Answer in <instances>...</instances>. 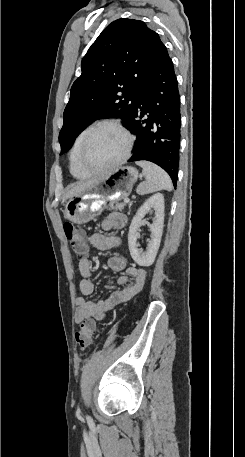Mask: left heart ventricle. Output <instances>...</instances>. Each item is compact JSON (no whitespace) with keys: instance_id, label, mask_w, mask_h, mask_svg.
I'll return each instance as SVG.
<instances>
[{"instance_id":"1","label":"left heart ventricle","mask_w":245,"mask_h":457,"mask_svg":"<svg viewBox=\"0 0 245 457\" xmlns=\"http://www.w3.org/2000/svg\"><path fill=\"white\" fill-rule=\"evenodd\" d=\"M126 140L112 129L97 132L83 154L86 166L92 170L112 164L124 151Z\"/></svg>"}]
</instances>
